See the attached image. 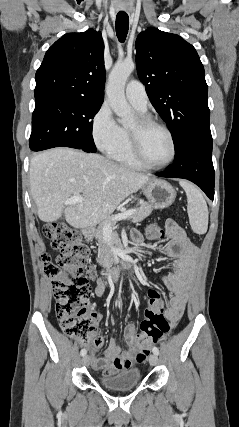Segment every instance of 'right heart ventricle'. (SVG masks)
I'll return each instance as SVG.
<instances>
[{
    "label": "right heart ventricle",
    "instance_id": "e07e8e85",
    "mask_svg": "<svg viewBox=\"0 0 239 427\" xmlns=\"http://www.w3.org/2000/svg\"><path fill=\"white\" fill-rule=\"evenodd\" d=\"M108 156L112 160L126 166H130L138 169L143 167L141 164H139L136 161V159L132 155L130 144H129L127 128H122L121 142L116 148H114L111 152L108 153Z\"/></svg>",
    "mask_w": 239,
    "mask_h": 427
}]
</instances>
